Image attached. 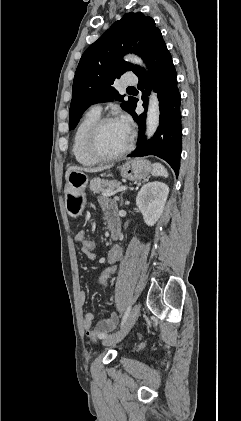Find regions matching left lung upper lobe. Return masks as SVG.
Here are the masks:
<instances>
[{"instance_id":"obj_1","label":"left lung upper lobe","mask_w":241,"mask_h":421,"mask_svg":"<svg viewBox=\"0 0 241 421\" xmlns=\"http://www.w3.org/2000/svg\"><path fill=\"white\" fill-rule=\"evenodd\" d=\"M159 32L153 18L141 12H130L85 50L73 81L70 129L76 127L90 105L98 102L122 101V108L132 112L135 98L123 101L124 96L113 87L114 80L126 71H138L139 66L124 61L122 57L134 52L144 59Z\"/></svg>"}]
</instances>
